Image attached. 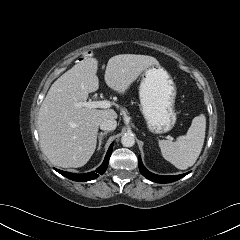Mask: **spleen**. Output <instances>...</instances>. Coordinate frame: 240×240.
I'll list each match as a JSON object with an SVG mask.
<instances>
[{"instance_id":"spleen-1","label":"spleen","mask_w":240,"mask_h":240,"mask_svg":"<svg viewBox=\"0 0 240 240\" xmlns=\"http://www.w3.org/2000/svg\"><path fill=\"white\" fill-rule=\"evenodd\" d=\"M205 130L206 118L204 114L196 116L186 135L179 136L175 142L159 140L158 144L162 156L181 170L193 166L201 153Z\"/></svg>"}]
</instances>
